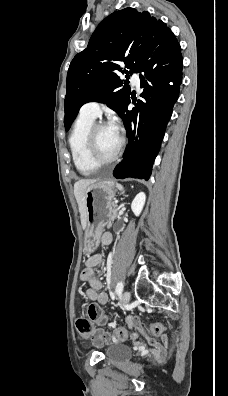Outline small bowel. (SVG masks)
<instances>
[{"instance_id":"c3829d8e","label":"small bowel","mask_w":228,"mask_h":396,"mask_svg":"<svg viewBox=\"0 0 228 396\" xmlns=\"http://www.w3.org/2000/svg\"><path fill=\"white\" fill-rule=\"evenodd\" d=\"M101 242L104 246L110 245L112 242V235L110 233H104ZM103 259L102 254L89 256L85 262V268L80 275V279L89 286L85 294L86 298L99 305H105L108 302V295L101 291L103 284L95 275V268L103 263ZM127 323L131 329L139 326V320L136 317H128ZM114 339L116 338L104 329L96 330L93 336V340L96 343L107 342ZM147 339L149 344L154 348L155 356L161 361L164 360L166 358L167 339L164 338L163 345L150 337H147Z\"/></svg>"}]
</instances>
